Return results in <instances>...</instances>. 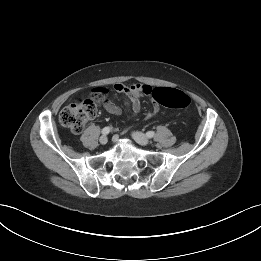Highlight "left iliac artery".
<instances>
[{
    "label": "left iliac artery",
    "instance_id": "44dca946",
    "mask_svg": "<svg viewBox=\"0 0 261 261\" xmlns=\"http://www.w3.org/2000/svg\"><path fill=\"white\" fill-rule=\"evenodd\" d=\"M154 135H155V132H154V131H148V132L146 133V136H147L148 138H152V137H154Z\"/></svg>",
    "mask_w": 261,
    "mask_h": 261
}]
</instances>
